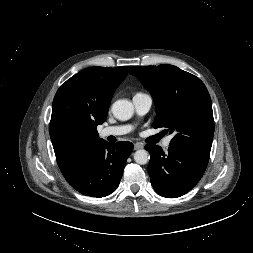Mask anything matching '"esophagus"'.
Wrapping results in <instances>:
<instances>
[{"mask_svg": "<svg viewBox=\"0 0 253 253\" xmlns=\"http://www.w3.org/2000/svg\"><path fill=\"white\" fill-rule=\"evenodd\" d=\"M144 147V145L142 143H135L134 144V150H138V149H142Z\"/></svg>", "mask_w": 253, "mask_h": 253, "instance_id": "1", "label": "esophagus"}]
</instances>
